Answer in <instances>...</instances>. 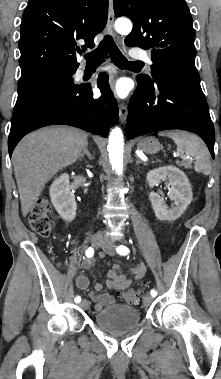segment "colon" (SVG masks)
<instances>
[{
	"label": "colon",
	"instance_id": "5ec220e1",
	"mask_svg": "<svg viewBox=\"0 0 221 379\" xmlns=\"http://www.w3.org/2000/svg\"><path fill=\"white\" fill-rule=\"evenodd\" d=\"M51 206L45 200H38L33 205L28 222L32 230L41 236H47L52 230ZM120 297L131 304H137L142 299V293L138 290H126L119 292Z\"/></svg>",
	"mask_w": 221,
	"mask_h": 379
}]
</instances>
